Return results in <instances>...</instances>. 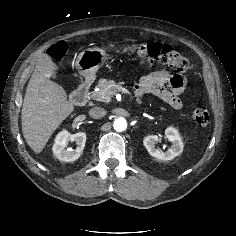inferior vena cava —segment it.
<instances>
[{
    "instance_id": "602c4592",
    "label": "inferior vena cava",
    "mask_w": 236,
    "mask_h": 236,
    "mask_svg": "<svg viewBox=\"0 0 236 236\" xmlns=\"http://www.w3.org/2000/svg\"><path fill=\"white\" fill-rule=\"evenodd\" d=\"M106 115V110L101 107H93L89 110V116L93 119H101Z\"/></svg>"
}]
</instances>
